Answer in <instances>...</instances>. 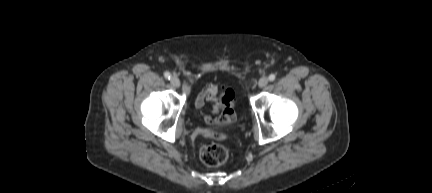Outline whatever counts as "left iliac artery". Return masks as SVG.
<instances>
[{
  "instance_id": "left-iliac-artery-1",
  "label": "left iliac artery",
  "mask_w": 432,
  "mask_h": 193,
  "mask_svg": "<svg viewBox=\"0 0 432 193\" xmlns=\"http://www.w3.org/2000/svg\"><path fill=\"white\" fill-rule=\"evenodd\" d=\"M276 78V76L274 74L269 75V80L270 81H274Z\"/></svg>"
}]
</instances>
